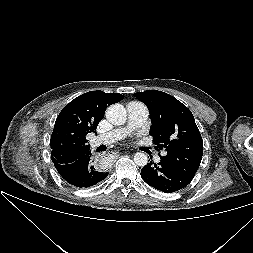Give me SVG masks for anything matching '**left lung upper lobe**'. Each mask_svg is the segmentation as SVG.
<instances>
[{
  "label": "left lung upper lobe",
  "instance_id": "5c2ea615",
  "mask_svg": "<svg viewBox=\"0 0 253 253\" xmlns=\"http://www.w3.org/2000/svg\"><path fill=\"white\" fill-rule=\"evenodd\" d=\"M150 112V134L167 154L161 160L192 180L201 163L203 141L191 111L173 96L147 90L134 94Z\"/></svg>",
  "mask_w": 253,
  "mask_h": 253
}]
</instances>
